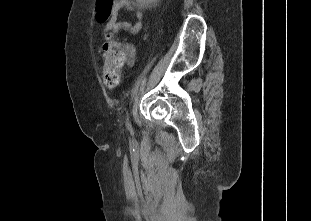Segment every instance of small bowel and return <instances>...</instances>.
Returning a JSON list of instances; mask_svg holds the SVG:
<instances>
[{"label":"small bowel","mask_w":311,"mask_h":221,"mask_svg":"<svg viewBox=\"0 0 311 221\" xmlns=\"http://www.w3.org/2000/svg\"><path fill=\"white\" fill-rule=\"evenodd\" d=\"M140 0H115L112 10V18L108 23V29L114 33L119 34L121 31L126 30L131 33H138L142 28L143 14L139 7ZM130 11L136 18V23L131 24L126 21H119L117 19L118 13L122 10ZM122 51L125 55V61L128 65H133L135 48L132 44H124Z\"/></svg>","instance_id":"c3829d8e"}]
</instances>
